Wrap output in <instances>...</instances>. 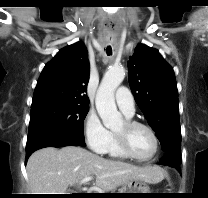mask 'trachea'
<instances>
[{
    "label": "trachea",
    "mask_w": 208,
    "mask_h": 198,
    "mask_svg": "<svg viewBox=\"0 0 208 198\" xmlns=\"http://www.w3.org/2000/svg\"><path fill=\"white\" fill-rule=\"evenodd\" d=\"M106 53H107V55H111L112 54V48L111 47H107Z\"/></svg>",
    "instance_id": "trachea-1"
}]
</instances>
